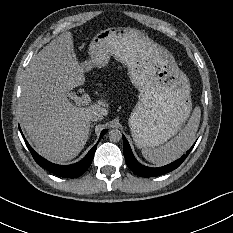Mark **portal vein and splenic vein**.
Segmentation results:
<instances>
[{
  "instance_id": "1",
  "label": "portal vein and splenic vein",
  "mask_w": 233,
  "mask_h": 233,
  "mask_svg": "<svg viewBox=\"0 0 233 233\" xmlns=\"http://www.w3.org/2000/svg\"><path fill=\"white\" fill-rule=\"evenodd\" d=\"M68 98L74 101L76 106H85L89 105L92 101L90 95L88 93H83L82 96H78L73 92L67 93Z\"/></svg>"
}]
</instances>
